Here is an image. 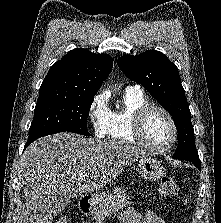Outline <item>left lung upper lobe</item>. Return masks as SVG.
Instances as JSON below:
<instances>
[{
	"mask_svg": "<svg viewBox=\"0 0 221 223\" xmlns=\"http://www.w3.org/2000/svg\"><path fill=\"white\" fill-rule=\"evenodd\" d=\"M121 71L141 84L173 117L178 132L174 159L200 162L194 140L191 113L177 66L163 53L148 50L118 58Z\"/></svg>",
	"mask_w": 221,
	"mask_h": 223,
	"instance_id": "5c2ea615",
	"label": "left lung upper lobe"
}]
</instances>
